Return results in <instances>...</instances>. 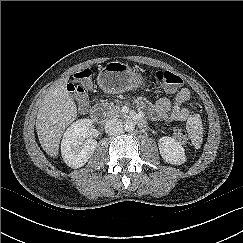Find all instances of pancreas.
I'll use <instances>...</instances> for the list:
<instances>
[{"label":"pancreas","mask_w":243,"mask_h":243,"mask_svg":"<svg viewBox=\"0 0 243 243\" xmlns=\"http://www.w3.org/2000/svg\"><path fill=\"white\" fill-rule=\"evenodd\" d=\"M120 113V107L119 106H114L113 104H109V108L107 111V116L113 117L116 114Z\"/></svg>","instance_id":"obj_1"}]
</instances>
